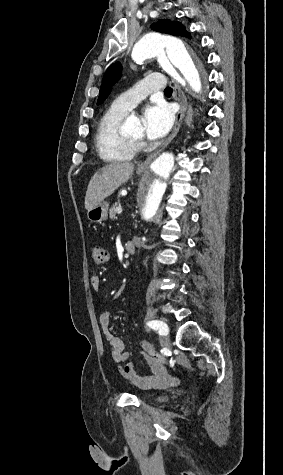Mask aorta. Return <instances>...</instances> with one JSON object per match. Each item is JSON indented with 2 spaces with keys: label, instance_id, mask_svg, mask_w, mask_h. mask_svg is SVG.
I'll use <instances>...</instances> for the list:
<instances>
[{
  "label": "aorta",
  "instance_id": "obj_1",
  "mask_svg": "<svg viewBox=\"0 0 283 475\" xmlns=\"http://www.w3.org/2000/svg\"><path fill=\"white\" fill-rule=\"evenodd\" d=\"M131 56L136 63L157 57L160 65L177 82L184 85L186 80L194 92L201 94V69L180 39L159 33L146 34L134 45ZM139 127L135 118H128L124 124L127 132H134ZM179 155L177 151L162 153L141 177L135 194V218L140 224L150 225L160 216L164 198L179 172Z\"/></svg>",
  "mask_w": 283,
  "mask_h": 475
}]
</instances>
